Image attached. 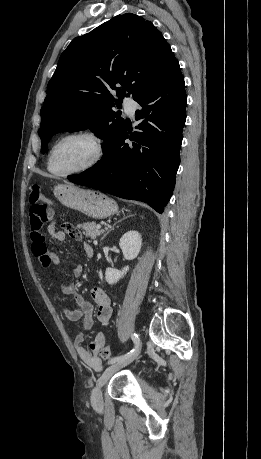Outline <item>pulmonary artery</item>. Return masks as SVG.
I'll return each instance as SVG.
<instances>
[{
  "instance_id": "1",
  "label": "pulmonary artery",
  "mask_w": 261,
  "mask_h": 459,
  "mask_svg": "<svg viewBox=\"0 0 261 459\" xmlns=\"http://www.w3.org/2000/svg\"><path fill=\"white\" fill-rule=\"evenodd\" d=\"M136 107H137V104L135 101L131 100V99H127L125 100L124 102V109H125V112L129 115V116H133L134 113H135V110H136Z\"/></svg>"
}]
</instances>
